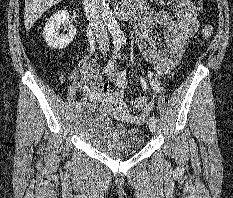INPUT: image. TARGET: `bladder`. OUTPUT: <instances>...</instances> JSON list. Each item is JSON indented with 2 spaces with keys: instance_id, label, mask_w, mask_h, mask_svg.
Listing matches in <instances>:
<instances>
[{
  "instance_id": "1",
  "label": "bladder",
  "mask_w": 233,
  "mask_h": 198,
  "mask_svg": "<svg viewBox=\"0 0 233 198\" xmlns=\"http://www.w3.org/2000/svg\"><path fill=\"white\" fill-rule=\"evenodd\" d=\"M77 129L96 150L109 157L137 153L144 145L140 127L111 126L106 111L95 104L84 105L78 113Z\"/></svg>"
}]
</instances>
